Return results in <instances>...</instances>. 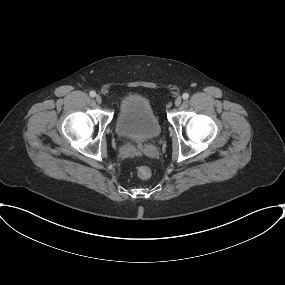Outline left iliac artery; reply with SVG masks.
<instances>
[{"instance_id": "1", "label": "left iliac artery", "mask_w": 285, "mask_h": 285, "mask_svg": "<svg viewBox=\"0 0 285 285\" xmlns=\"http://www.w3.org/2000/svg\"><path fill=\"white\" fill-rule=\"evenodd\" d=\"M182 97H183L184 100H186V99L189 98V94H188V93H184V94L182 95Z\"/></svg>"}]
</instances>
